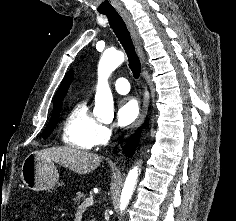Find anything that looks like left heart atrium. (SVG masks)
Returning a JSON list of instances; mask_svg holds the SVG:
<instances>
[{"label":"left heart atrium","mask_w":236,"mask_h":221,"mask_svg":"<svg viewBox=\"0 0 236 221\" xmlns=\"http://www.w3.org/2000/svg\"><path fill=\"white\" fill-rule=\"evenodd\" d=\"M139 114L138 103L134 98L126 97L119 101L117 109V124L120 127L131 125Z\"/></svg>","instance_id":"left-heart-atrium-1"}]
</instances>
